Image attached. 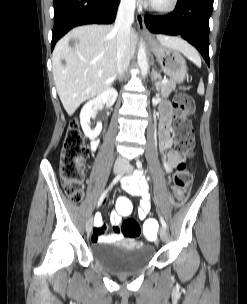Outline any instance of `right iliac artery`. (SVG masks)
<instances>
[{"instance_id": "1", "label": "right iliac artery", "mask_w": 247, "mask_h": 304, "mask_svg": "<svg viewBox=\"0 0 247 304\" xmlns=\"http://www.w3.org/2000/svg\"><path fill=\"white\" fill-rule=\"evenodd\" d=\"M122 175H123V173L117 175V176L114 178V180L112 181V183H111V185L109 186V188L102 194V196H101V198H100V200H99V202H98V205H100V204L102 203V201H103L104 197L106 196L108 190H110V189L112 188V186L115 185V184L122 178ZM125 179L127 180L128 178H125Z\"/></svg>"}]
</instances>
